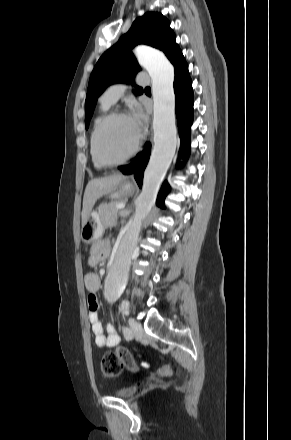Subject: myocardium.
<instances>
[{
    "instance_id": "f54148a6",
    "label": "myocardium",
    "mask_w": 291,
    "mask_h": 440,
    "mask_svg": "<svg viewBox=\"0 0 291 440\" xmlns=\"http://www.w3.org/2000/svg\"><path fill=\"white\" fill-rule=\"evenodd\" d=\"M117 118H127V115L123 112L120 111H113L109 114H107L106 116H104L101 121L99 122L96 130H95V134H94V155L96 157V159L98 160V162L100 164H102L103 166H119L122 165L124 163H126L127 161H129L139 150L140 148V144H141V135L139 134L137 137V140L135 142L134 147L130 150V152L123 157L122 159L119 160H112V159H107L106 157H104L100 151V137H101V133L104 129V127L112 120L117 119Z\"/></svg>"
}]
</instances>
